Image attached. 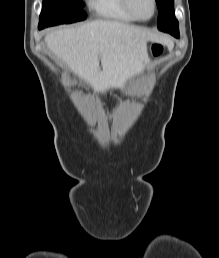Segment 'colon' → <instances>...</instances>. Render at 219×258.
<instances>
[{
  "mask_svg": "<svg viewBox=\"0 0 219 258\" xmlns=\"http://www.w3.org/2000/svg\"><path fill=\"white\" fill-rule=\"evenodd\" d=\"M163 47L160 44H153L151 46V52L154 56H158L162 53Z\"/></svg>",
  "mask_w": 219,
  "mask_h": 258,
  "instance_id": "colon-1",
  "label": "colon"
}]
</instances>
